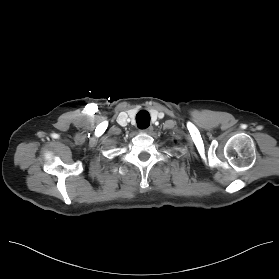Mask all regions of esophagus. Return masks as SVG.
<instances>
[{"label": "esophagus", "mask_w": 279, "mask_h": 279, "mask_svg": "<svg viewBox=\"0 0 279 279\" xmlns=\"http://www.w3.org/2000/svg\"><path fill=\"white\" fill-rule=\"evenodd\" d=\"M152 131H153V127L152 126L141 130V132L146 133V134H150Z\"/></svg>", "instance_id": "obj_1"}]
</instances>
